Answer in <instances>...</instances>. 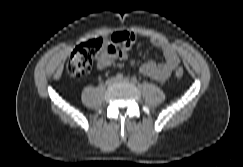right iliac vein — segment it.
Here are the masks:
<instances>
[{
  "label": "right iliac vein",
  "instance_id": "1",
  "mask_svg": "<svg viewBox=\"0 0 243 167\" xmlns=\"http://www.w3.org/2000/svg\"><path fill=\"white\" fill-rule=\"evenodd\" d=\"M116 81H117L116 78H110V79H108V80L106 81V84H107L108 86H111V85H113L114 83H116Z\"/></svg>",
  "mask_w": 243,
  "mask_h": 167
}]
</instances>
